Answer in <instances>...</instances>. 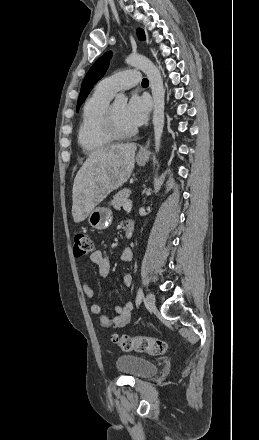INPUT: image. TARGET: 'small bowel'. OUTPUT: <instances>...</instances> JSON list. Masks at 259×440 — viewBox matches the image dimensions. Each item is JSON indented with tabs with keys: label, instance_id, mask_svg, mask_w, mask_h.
Segmentation results:
<instances>
[{
	"label": "small bowel",
	"instance_id": "obj_1",
	"mask_svg": "<svg viewBox=\"0 0 259 440\" xmlns=\"http://www.w3.org/2000/svg\"><path fill=\"white\" fill-rule=\"evenodd\" d=\"M121 259L124 263H129L133 259V251L131 248H125L122 252ZM90 261L97 266L98 274L101 277H107L111 270V265L108 257L100 250L94 251L90 255ZM123 285L125 287H130L132 285V276L130 274H125L123 276ZM83 292L86 297L93 298L94 290L85 283L83 285ZM91 312L95 315H99V324L103 327L113 326L115 328H123L127 326L132 319L133 304L128 301L123 305L117 306L115 308V315L108 316L102 314V308L98 304H93L90 308Z\"/></svg>",
	"mask_w": 259,
	"mask_h": 440
}]
</instances>
